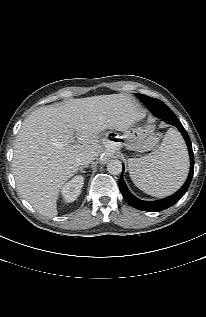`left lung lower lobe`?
I'll list each match as a JSON object with an SVG mask.
<instances>
[{"instance_id": "1", "label": "left lung lower lobe", "mask_w": 206, "mask_h": 317, "mask_svg": "<svg viewBox=\"0 0 206 317\" xmlns=\"http://www.w3.org/2000/svg\"><path fill=\"white\" fill-rule=\"evenodd\" d=\"M148 103V109L157 117L161 118L162 120H164L165 122L176 126L179 131L181 132L182 136L184 137L186 144L188 146V151H189V156H190V162H191V166H190V172L188 175V178L186 180V182L184 183V185L173 195L164 198L162 200L159 201H152V202H147V201H142L138 198H136L127 188L124 179L121 177L119 179V187H120V191L125 199V201L132 207L142 210V211H148V212H159L162 210H165L169 207H171L172 205H174L175 203H177L181 197L186 193L191 179L193 177V170H194V155H193V151H192V147H191V142H190V138L186 132V130L184 129V127L182 126V124L179 122V120L176 118V116L174 115V113L171 111V109L168 106H163L161 107V105H157L153 102H147ZM124 170V168H123Z\"/></svg>"}]
</instances>
